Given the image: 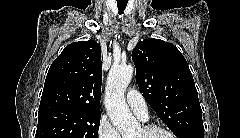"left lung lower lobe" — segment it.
Returning a JSON list of instances; mask_svg holds the SVG:
<instances>
[{
    "mask_svg": "<svg viewBox=\"0 0 240 138\" xmlns=\"http://www.w3.org/2000/svg\"><path fill=\"white\" fill-rule=\"evenodd\" d=\"M204 131H195L187 136V138H203Z\"/></svg>",
    "mask_w": 240,
    "mask_h": 138,
    "instance_id": "left-lung-lower-lobe-1",
    "label": "left lung lower lobe"
}]
</instances>
